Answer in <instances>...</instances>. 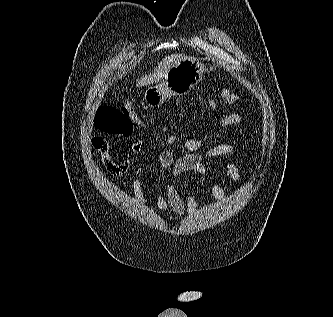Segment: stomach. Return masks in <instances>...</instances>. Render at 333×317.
<instances>
[{
	"label": "stomach",
	"mask_w": 333,
	"mask_h": 317,
	"mask_svg": "<svg viewBox=\"0 0 333 317\" xmlns=\"http://www.w3.org/2000/svg\"><path fill=\"white\" fill-rule=\"evenodd\" d=\"M204 65L197 59L187 58L173 66L164 80L150 86L144 93L149 107H160L172 95H186L201 80Z\"/></svg>",
	"instance_id": "1"
}]
</instances>
